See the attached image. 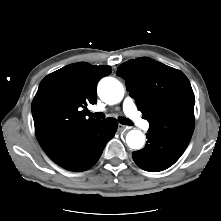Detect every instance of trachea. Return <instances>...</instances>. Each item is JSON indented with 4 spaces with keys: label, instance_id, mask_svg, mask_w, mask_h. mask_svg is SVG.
Masks as SVG:
<instances>
[{
    "label": "trachea",
    "instance_id": "trachea-1",
    "mask_svg": "<svg viewBox=\"0 0 221 221\" xmlns=\"http://www.w3.org/2000/svg\"><path fill=\"white\" fill-rule=\"evenodd\" d=\"M90 116L95 117L97 119H104L105 118V114L102 112H97V113H89ZM119 122L123 125H133V123L125 117H119L118 118Z\"/></svg>",
    "mask_w": 221,
    "mask_h": 221
}]
</instances>
